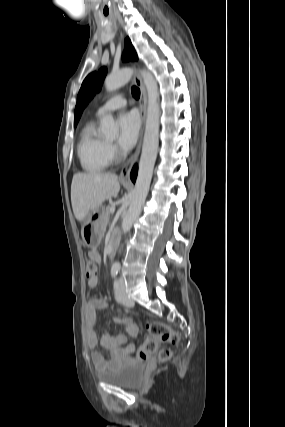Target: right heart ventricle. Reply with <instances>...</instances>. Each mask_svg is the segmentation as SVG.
Listing matches in <instances>:
<instances>
[{
	"label": "right heart ventricle",
	"mask_w": 285,
	"mask_h": 427,
	"mask_svg": "<svg viewBox=\"0 0 285 427\" xmlns=\"http://www.w3.org/2000/svg\"><path fill=\"white\" fill-rule=\"evenodd\" d=\"M77 156L82 169L88 173L102 172L110 164L108 142L97 133L94 121L88 122L80 133Z\"/></svg>",
	"instance_id": "right-heart-ventricle-1"
}]
</instances>
